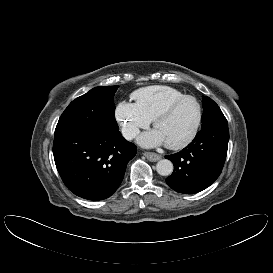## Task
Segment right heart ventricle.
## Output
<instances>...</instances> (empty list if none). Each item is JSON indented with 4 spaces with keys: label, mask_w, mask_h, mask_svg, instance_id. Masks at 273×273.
<instances>
[{
    "label": "right heart ventricle",
    "mask_w": 273,
    "mask_h": 273,
    "mask_svg": "<svg viewBox=\"0 0 273 273\" xmlns=\"http://www.w3.org/2000/svg\"><path fill=\"white\" fill-rule=\"evenodd\" d=\"M180 90L163 85L141 88L132 94L136 107L150 120L171 101L184 96Z\"/></svg>",
    "instance_id": "1"
}]
</instances>
